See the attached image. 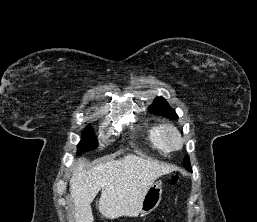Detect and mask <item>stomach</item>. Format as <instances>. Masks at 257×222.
Segmentation results:
<instances>
[{
	"mask_svg": "<svg viewBox=\"0 0 257 222\" xmlns=\"http://www.w3.org/2000/svg\"><path fill=\"white\" fill-rule=\"evenodd\" d=\"M161 195V182L153 183L144 195V198L141 203V213L147 215L154 211L161 201Z\"/></svg>",
	"mask_w": 257,
	"mask_h": 222,
	"instance_id": "stomach-1",
	"label": "stomach"
}]
</instances>
